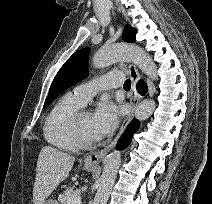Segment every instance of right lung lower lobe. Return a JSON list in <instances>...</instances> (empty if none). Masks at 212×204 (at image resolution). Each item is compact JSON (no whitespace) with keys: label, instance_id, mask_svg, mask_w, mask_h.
<instances>
[{"label":"right lung lower lobe","instance_id":"1","mask_svg":"<svg viewBox=\"0 0 212 204\" xmlns=\"http://www.w3.org/2000/svg\"><path fill=\"white\" fill-rule=\"evenodd\" d=\"M137 88L141 95H144L147 92V86L144 81H139Z\"/></svg>","mask_w":212,"mask_h":204}]
</instances>
